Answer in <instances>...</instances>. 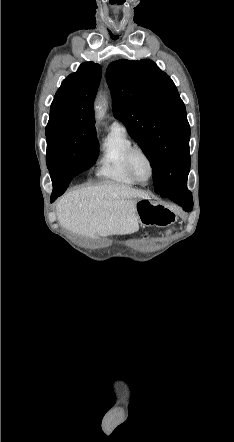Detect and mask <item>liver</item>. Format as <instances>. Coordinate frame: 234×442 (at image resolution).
Here are the masks:
<instances>
[{
    "instance_id": "obj_1",
    "label": "liver",
    "mask_w": 234,
    "mask_h": 442,
    "mask_svg": "<svg viewBox=\"0 0 234 442\" xmlns=\"http://www.w3.org/2000/svg\"><path fill=\"white\" fill-rule=\"evenodd\" d=\"M149 196L125 185L105 183L71 191L56 205L61 226L94 238L126 235L138 231L135 204Z\"/></svg>"
}]
</instances>
